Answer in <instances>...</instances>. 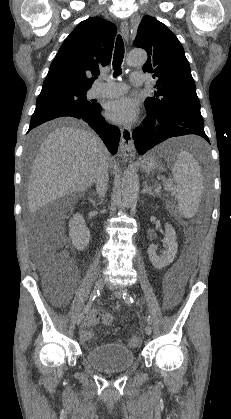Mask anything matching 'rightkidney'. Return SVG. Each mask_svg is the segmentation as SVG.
<instances>
[{
    "label": "right kidney",
    "mask_w": 231,
    "mask_h": 419,
    "mask_svg": "<svg viewBox=\"0 0 231 419\" xmlns=\"http://www.w3.org/2000/svg\"><path fill=\"white\" fill-rule=\"evenodd\" d=\"M69 236L73 246L79 250H84L90 241V231L86 227L85 220L81 214H75L69 221Z\"/></svg>",
    "instance_id": "obj_1"
}]
</instances>
